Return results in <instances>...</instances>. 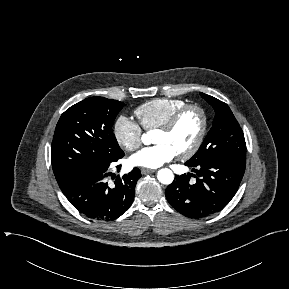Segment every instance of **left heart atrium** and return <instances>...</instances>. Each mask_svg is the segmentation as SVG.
I'll return each mask as SVG.
<instances>
[{"label": "left heart atrium", "mask_w": 289, "mask_h": 289, "mask_svg": "<svg viewBox=\"0 0 289 289\" xmlns=\"http://www.w3.org/2000/svg\"><path fill=\"white\" fill-rule=\"evenodd\" d=\"M176 155V151L171 146L160 143L142 148L129 158V162L137 167L157 168L171 161Z\"/></svg>", "instance_id": "obj_1"}]
</instances>
